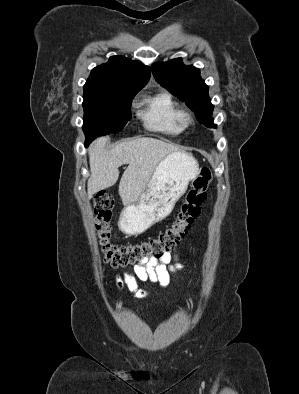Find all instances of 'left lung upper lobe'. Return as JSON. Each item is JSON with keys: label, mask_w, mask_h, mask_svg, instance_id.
Returning a JSON list of instances; mask_svg holds the SVG:
<instances>
[{"label": "left lung upper lobe", "mask_w": 299, "mask_h": 394, "mask_svg": "<svg viewBox=\"0 0 299 394\" xmlns=\"http://www.w3.org/2000/svg\"><path fill=\"white\" fill-rule=\"evenodd\" d=\"M155 80L174 96L184 101L195 112L199 123L216 128L212 113L214 106L208 95V86L200 77V70L183 64L181 58L151 66Z\"/></svg>", "instance_id": "obj_1"}]
</instances>
